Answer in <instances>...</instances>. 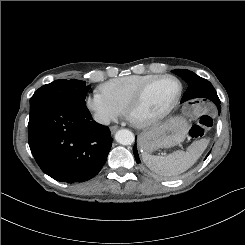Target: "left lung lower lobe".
<instances>
[{
    "label": "left lung lower lobe",
    "mask_w": 245,
    "mask_h": 245,
    "mask_svg": "<svg viewBox=\"0 0 245 245\" xmlns=\"http://www.w3.org/2000/svg\"><path fill=\"white\" fill-rule=\"evenodd\" d=\"M210 100H212V101L216 104V106H217V108H218V112H219V114H220L221 106H220V100H219L218 96L211 97ZM133 153H134L136 162H137V163H140V160H139V157H138V152H137L136 144H135L134 147H133Z\"/></svg>",
    "instance_id": "1"
}]
</instances>
